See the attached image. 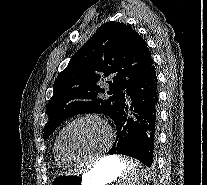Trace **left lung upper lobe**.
I'll use <instances>...</instances> for the list:
<instances>
[{
    "mask_svg": "<svg viewBox=\"0 0 207 185\" xmlns=\"http://www.w3.org/2000/svg\"><path fill=\"white\" fill-rule=\"evenodd\" d=\"M152 66L147 44L136 31L119 22L101 25L54 82L45 138L76 114L103 113L115 121L131 85ZM104 79L109 91L100 86Z\"/></svg>",
    "mask_w": 207,
    "mask_h": 185,
    "instance_id": "left-lung-upper-lobe-1",
    "label": "left lung upper lobe"
}]
</instances>
